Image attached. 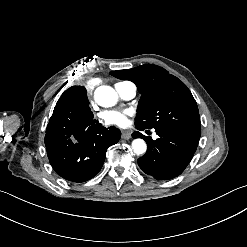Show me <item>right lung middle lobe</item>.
I'll return each instance as SVG.
<instances>
[{"label": "right lung middle lobe", "instance_id": "1", "mask_svg": "<svg viewBox=\"0 0 247 247\" xmlns=\"http://www.w3.org/2000/svg\"><path fill=\"white\" fill-rule=\"evenodd\" d=\"M71 104L84 112H91L87 98V91L83 86H73L67 89L60 97L59 103Z\"/></svg>", "mask_w": 247, "mask_h": 247}]
</instances>
